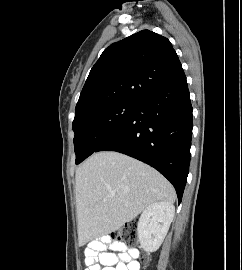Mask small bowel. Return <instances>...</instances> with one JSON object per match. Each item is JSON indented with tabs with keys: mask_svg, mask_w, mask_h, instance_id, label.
Here are the masks:
<instances>
[{
	"mask_svg": "<svg viewBox=\"0 0 242 270\" xmlns=\"http://www.w3.org/2000/svg\"><path fill=\"white\" fill-rule=\"evenodd\" d=\"M109 246L110 251H107ZM139 251L125 244L101 237L89 245L86 270H140Z\"/></svg>",
	"mask_w": 242,
	"mask_h": 270,
	"instance_id": "1",
	"label": "small bowel"
}]
</instances>
